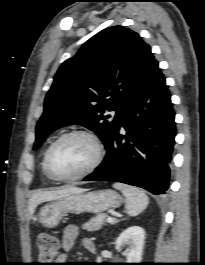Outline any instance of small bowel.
<instances>
[{
    "mask_svg": "<svg viewBox=\"0 0 205 265\" xmlns=\"http://www.w3.org/2000/svg\"><path fill=\"white\" fill-rule=\"evenodd\" d=\"M78 237V228L74 225L67 226L62 235L61 241V248L63 249L64 253L60 254L57 258V264H63L66 261V253L72 249L75 244V241ZM83 247L89 251V247H94L93 242L89 238H85L82 241ZM90 252V251H89Z\"/></svg>",
    "mask_w": 205,
    "mask_h": 265,
    "instance_id": "c3829d8e",
    "label": "small bowel"
}]
</instances>
